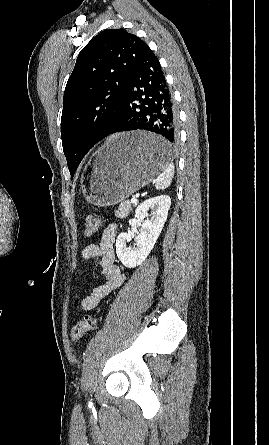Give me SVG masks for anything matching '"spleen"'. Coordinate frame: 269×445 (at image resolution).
<instances>
[{"instance_id": "spleen-1", "label": "spleen", "mask_w": 269, "mask_h": 445, "mask_svg": "<svg viewBox=\"0 0 269 445\" xmlns=\"http://www.w3.org/2000/svg\"><path fill=\"white\" fill-rule=\"evenodd\" d=\"M174 175V164L172 162L168 163L164 168L162 174L155 181V187L157 190H163L170 186Z\"/></svg>"}]
</instances>
